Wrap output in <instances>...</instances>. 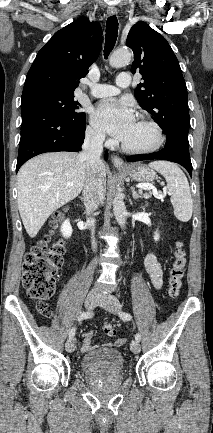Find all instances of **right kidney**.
Segmentation results:
<instances>
[{
  "label": "right kidney",
  "mask_w": 213,
  "mask_h": 433,
  "mask_svg": "<svg viewBox=\"0 0 213 433\" xmlns=\"http://www.w3.org/2000/svg\"><path fill=\"white\" fill-rule=\"evenodd\" d=\"M61 233L65 238H69L72 235V227L68 220H65L61 226Z\"/></svg>",
  "instance_id": "1"
}]
</instances>
